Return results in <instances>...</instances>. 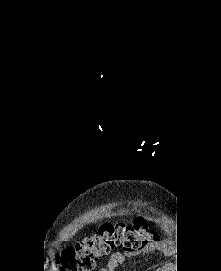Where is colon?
I'll use <instances>...</instances> for the list:
<instances>
[{
  "label": "colon",
  "mask_w": 221,
  "mask_h": 271,
  "mask_svg": "<svg viewBox=\"0 0 221 271\" xmlns=\"http://www.w3.org/2000/svg\"><path fill=\"white\" fill-rule=\"evenodd\" d=\"M155 238L152 229L140 219L130 223H104L96 234L66 245L57 254L55 266L59 271H93L95 265L116 249L137 252Z\"/></svg>",
  "instance_id": "colon-1"
}]
</instances>
